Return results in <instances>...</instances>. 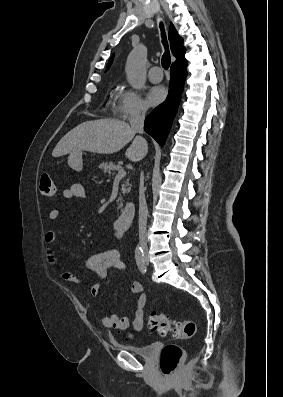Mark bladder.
Returning a JSON list of instances; mask_svg holds the SVG:
<instances>
[{"label": "bladder", "instance_id": "obj_1", "mask_svg": "<svg viewBox=\"0 0 283 397\" xmlns=\"http://www.w3.org/2000/svg\"><path fill=\"white\" fill-rule=\"evenodd\" d=\"M121 349L128 351L130 353H133L143 359H152L159 347V344L157 342H153L147 345H142V346H132V345H120L119 346Z\"/></svg>", "mask_w": 283, "mask_h": 397}]
</instances>
